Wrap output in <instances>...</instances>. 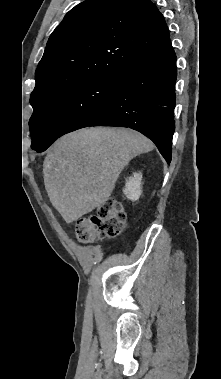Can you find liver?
Wrapping results in <instances>:
<instances>
[{
  "mask_svg": "<svg viewBox=\"0 0 221 379\" xmlns=\"http://www.w3.org/2000/svg\"><path fill=\"white\" fill-rule=\"evenodd\" d=\"M154 144L125 128H86L58 139L43 163L44 184L52 205L66 223L106 203L129 161Z\"/></svg>",
  "mask_w": 221,
  "mask_h": 379,
  "instance_id": "liver-1",
  "label": "liver"
}]
</instances>
